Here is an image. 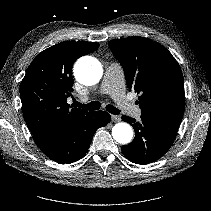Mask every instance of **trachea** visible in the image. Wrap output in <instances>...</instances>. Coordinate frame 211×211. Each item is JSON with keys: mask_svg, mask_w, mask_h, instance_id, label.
<instances>
[{"mask_svg": "<svg viewBox=\"0 0 211 211\" xmlns=\"http://www.w3.org/2000/svg\"><path fill=\"white\" fill-rule=\"evenodd\" d=\"M74 105L76 107L83 108L85 110H98L101 107V103L99 101H92L88 104H82V103L75 101ZM106 110L114 115H117L120 113V110L115 108L113 105H107Z\"/></svg>", "mask_w": 211, "mask_h": 211, "instance_id": "trachea-1", "label": "trachea"}]
</instances>
